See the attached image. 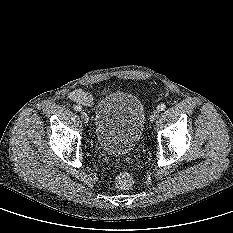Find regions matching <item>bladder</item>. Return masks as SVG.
<instances>
[{
	"label": "bladder",
	"instance_id": "1",
	"mask_svg": "<svg viewBox=\"0 0 233 233\" xmlns=\"http://www.w3.org/2000/svg\"><path fill=\"white\" fill-rule=\"evenodd\" d=\"M145 124V109L138 97L112 92L97 103L94 130L98 143L108 153L121 156L138 144Z\"/></svg>",
	"mask_w": 233,
	"mask_h": 233
}]
</instances>
